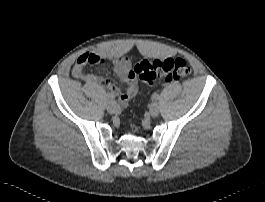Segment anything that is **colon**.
Masks as SVG:
<instances>
[{
	"label": "colon",
	"instance_id": "1",
	"mask_svg": "<svg viewBox=\"0 0 265 202\" xmlns=\"http://www.w3.org/2000/svg\"><path fill=\"white\" fill-rule=\"evenodd\" d=\"M191 74V68L187 62L181 58H166L150 60H140L133 68L132 76L146 85H153L158 79L166 82L179 81Z\"/></svg>",
	"mask_w": 265,
	"mask_h": 202
}]
</instances>
